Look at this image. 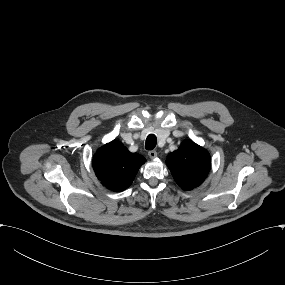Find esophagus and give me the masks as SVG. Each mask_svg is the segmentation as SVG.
<instances>
[{
    "label": "esophagus",
    "instance_id": "34e87169",
    "mask_svg": "<svg viewBox=\"0 0 285 285\" xmlns=\"http://www.w3.org/2000/svg\"><path fill=\"white\" fill-rule=\"evenodd\" d=\"M148 156L150 157V159H154L157 156V152L155 150H150L148 152Z\"/></svg>",
    "mask_w": 285,
    "mask_h": 285
}]
</instances>
